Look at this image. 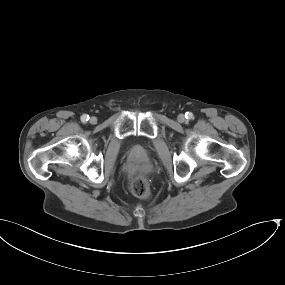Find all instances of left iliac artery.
<instances>
[{
    "label": "left iliac artery",
    "mask_w": 285,
    "mask_h": 285,
    "mask_svg": "<svg viewBox=\"0 0 285 285\" xmlns=\"http://www.w3.org/2000/svg\"><path fill=\"white\" fill-rule=\"evenodd\" d=\"M185 118L188 120H192L193 119V114L191 112H186L185 113Z\"/></svg>",
    "instance_id": "1"
}]
</instances>
